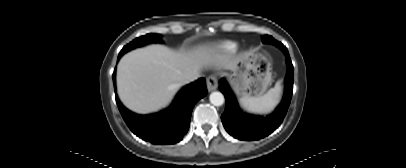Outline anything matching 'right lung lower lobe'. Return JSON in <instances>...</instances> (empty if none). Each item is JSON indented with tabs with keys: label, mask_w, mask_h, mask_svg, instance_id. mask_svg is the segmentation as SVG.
Segmentation results:
<instances>
[{
	"label": "right lung lower lobe",
	"mask_w": 406,
	"mask_h": 168,
	"mask_svg": "<svg viewBox=\"0 0 406 168\" xmlns=\"http://www.w3.org/2000/svg\"><path fill=\"white\" fill-rule=\"evenodd\" d=\"M121 55L118 56V59ZM115 71L113 80L115 83ZM207 94L206 81L200 78L184 86L166 109L153 114L140 115L128 110L116 99L119 111L130 130L152 144H175L189 129L196 102Z\"/></svg>",
	"instance_id": "obj_1"
}]
</instances>
